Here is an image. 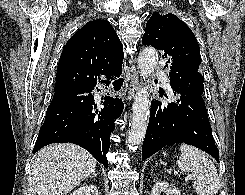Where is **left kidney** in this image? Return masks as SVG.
<instances>
[{
    "instance_id": "left-kidney-1",
    "label": "left kidney",
    "mask_w": 245,
    "mask_h": 195,
    "mask_svg": "<svg viewBox=\"0 0 245 195\" xmlns=\"http://www.w3.org/2000/svg\"><path fill=\"white\" fill-rule=\"evenodd\" d=\"M161 193L166 195H181L180 190L175 186H172L167 182H157L152 188L151 195H161Z\"/></svg>"
}]
</instances>
